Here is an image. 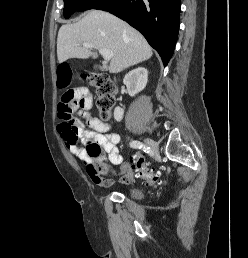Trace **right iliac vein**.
<instances>
[{"instance_id":"obj_1","label":"right iliac vein","mask_w":248,"mask_h":258,"mask_svg":"<svg viewBox=\"0 0 248 258\" xmlns=\"http://www.w3.org/2000/svg\"><path fill=\"white\" fill-rule=\"evenodd\" d=\"M144 142L149 146L153 158H156L159 155V147L157 143L151 138H145Z\"/></svg>"}]
</instances>
